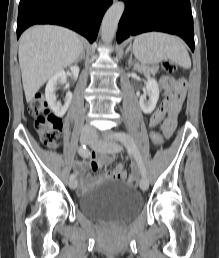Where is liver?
Returning a JSON list of instances; mask_svg holds the SVG:
<instances>
[{"label": "liver", "instance_id": "6515ba94", "mask_svg": "<svg viewBox=\"0 0 219 258\" xmlns=\"http://www.w3.org/2000/svg\"><path fill=\"white\" fill-rule=\"evenodd\" d=\"M82 50L79 36L63 27L27 29L20 37L18 53L26 101H32L51 76L74 63Z\"/></svg>", "mask_w": 219, "mask_h": 258}]
</instances>
